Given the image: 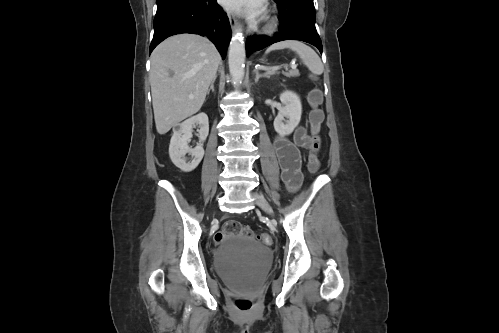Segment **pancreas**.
<instances>
[{"instance_id":"obj_1","label":"pancreas","mask_w":499,"mask_h":333,"mask_svg":"<svg viewBox=\"0 0 499 333\" xmlns=\"http://www.w3.org/2000/svg\"><path fill=\"white\" fill-rule=\"evenodd\" d=\"M286 77H298L300 76V73L297 69H292L288 72L283 73Z\"/></svg>"}]
</instances>
